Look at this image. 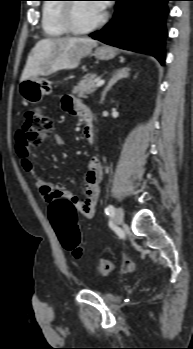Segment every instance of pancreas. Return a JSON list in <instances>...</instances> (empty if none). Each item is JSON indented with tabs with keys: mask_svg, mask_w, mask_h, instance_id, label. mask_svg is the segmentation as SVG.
<instances>
[{
	"mask_svg": "<svg viewBox=\"0 0 193 349\" xmlns=\"http://www.w3.org/2000/svg\"><path fill=\"white\" fill-rule=\"evenodd\" d=\"M98 77L96 74L85 75L79 83L73 87L72 93L78 95V97L86 98L88 94L95 91V83Z\"/></svg>",
	"mask_w": 193,
	"mask_h": 349,
	"instance_id": "1",
	"label": "pancreas"
}]
</instances>
